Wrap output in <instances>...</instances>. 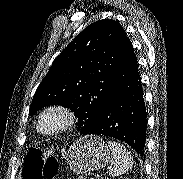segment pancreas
<instances>
[{"mask_svg":"<svg viewBox=\"0 0 183 179\" xmlns=\"http://www.w3.org/2000/svg\"><path fill=\"white\" fill-rule=\"evenodd\" d=\"M78 179H86L84 176H79Z\"/></svg>","mask_w":183,"mask_h":179,"instance_id":"1","label":"pancreas"}]
</instances>
